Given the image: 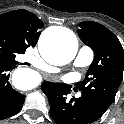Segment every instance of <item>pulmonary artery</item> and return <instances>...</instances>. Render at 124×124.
Listing matches in <instances>:
<instances>
[{
    "label": "pulmonary artery",
    "mask_w": 124,
    "mask_h": 124,
    "mask_svg": "<svg viewBox=\"0 0 124 124\" xmlns=\"http://www.w3.org/2000/svg\"><path fill=\"white\" fill-rule=\"evenodd\" d=\"M93 59H94L93 50L88 46H82L79 49L77 56L74 60V65L76 67H86L92 63ZM24 60L31 63L33 66L39 69H42L44 71H47V72L54 73L58 71L56 67L50 66L44 63L43 61L30 55L24 56Z\"/></svg>",
    "instance_id": "pulmonary-artery-1"
}]
</instances>
